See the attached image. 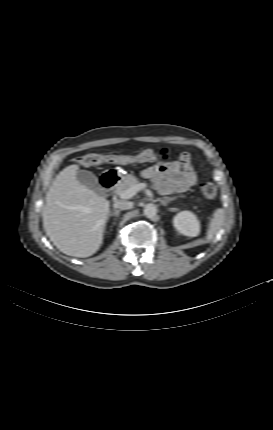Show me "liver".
<instances>
[{
	"instance_id": "obj_1",
	"label": "liver",
	"mask_w": 273,
	"mask_h": 430,
	"mask_svg": "<svg viewBox=\"0 0 273 430\" xmlns=\"http://www.w3.org/2000/svg\"><path fill=\"white\" fill-rule=\"evenodd\" d=\"M79 166L70 165L55 178L43 206V227L64 254L89 257L101 246L110 202L77 179Z\"/></svg>"
}]
</instances>
